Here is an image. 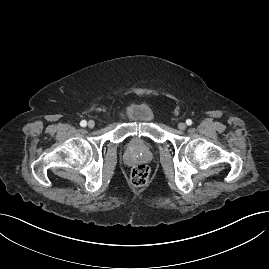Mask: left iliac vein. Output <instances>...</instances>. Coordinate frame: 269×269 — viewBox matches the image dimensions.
I'll return each instance as SVG.
<instances>
[{
    "label": "left iliac vein",
    "instance_id": "1",
    "mask_svg": "<svg viewBox=\"0 0 269 269\" xmlns=\"http://www.w3.org/2000/svg\"><path fill=\"white\" fill-rule=\"evenodd\" d=\"M178 128H179L180 130H184V129L186 128V124L183 123V122H180V123L178 124Z\"/></svg>",
    "mask_w": 269,
    "mask_h": 269
}]
</instances>
